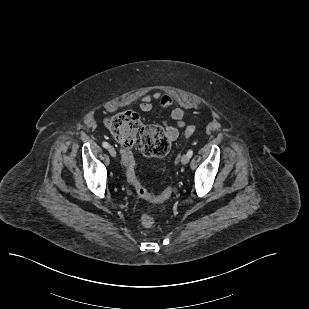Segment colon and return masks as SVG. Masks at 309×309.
Listing matches in <instances>:
<instances>
[{
	"instance_id": "obj_1",
	"label": "colon",
	"mask_w": 309,
	"mask_h": 309,
	"mask_svg": "<svg viewBox=\"0 0 309 309\" xmlns=\"http://www.w3.org/2000/svg\"><path fill=\"white\" fill-rule=\"evenodd\" d=\"M106 125L111 134L124 147L123 160L127 168L128 180L134 192L139 197L153 202H163L169 199L172 194L170 188L155 195L149 193L140 184L136 176L135 161L131 151L132 147L138 146L146 156L160 157L166 155L170 149V141L164 129L157 124H144L139 115L131 111L111 115L106 120ZM194 132L195 128L190 126L186 129L185 134L191 136ZM141 223L144 227L149 228L154 225L155 219L150 213H143Z\"/></svg>"
}]
</instances>
